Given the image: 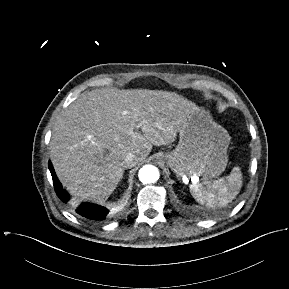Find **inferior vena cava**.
Instances as JSON below:
<instances>
[{
	"label": "inferior vena cava",
	"mask_w": 289,
	"mask_h": 289,
	"mask_svg": "<svg viewBox=\"0 0 289 289\" xmlns=\"http://www.w3.org/2000/svg\"><path fill=\"white\" fill-rule=\"evenodd\" d=\"M123 163L125 168H131L138 163V158L133 153H127Z\"/></svg>",
	"instance_id": "1"
}]
</instances>
